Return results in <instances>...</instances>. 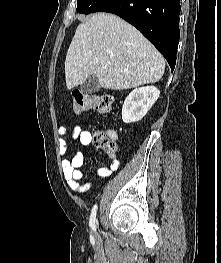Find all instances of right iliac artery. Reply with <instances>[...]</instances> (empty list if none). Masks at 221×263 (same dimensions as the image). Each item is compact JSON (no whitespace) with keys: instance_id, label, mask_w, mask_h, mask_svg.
<instances>
[{"instance_id":"82829eb1","label":"right iliac artery","mask_w":221,"mask_h":263,"mask_svg":"<svg viewBox=\"0 0 221 263\" xmlns=\"http://www.w3.org/2000/svg\"><path fill=\"white\" fill-rule=\"evenodd\" d=\"M97 209H98V206L95 204L91 211V216H90L89 225L93 230H96L95 220H96Z\"/></svg>"}]
</instances>
